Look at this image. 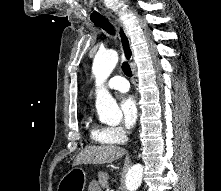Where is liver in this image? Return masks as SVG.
<instances>
[{
	"label": "liver",
	"mask_w": 221,
	"mask_h": 191,
	"mask_svg": "<svg viewBox=\"0 0 221 191\" xmlns=\"http://www.w3.org/2000/svg\"><path fill=\"white\" fill-rule=\"evenodd\" d=\"M125 153V149L113 145L91 146L78 154L73 165L111 163L121 158Z\"/></svg>",
	"instance_id": "6515ba94"
}]
</instances>
